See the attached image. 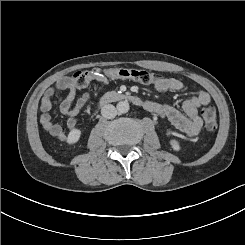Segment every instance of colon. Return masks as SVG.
Here are the masks:
<instances>
[{
	"label": "colon",
	"mask_w": 245,
	"mask_h": 245,
	"mask_svg": "<svg viewBox=\"0 0 245 245\" xmlns=\"http://www.w3.org/2000/svg\"><path fill=\"white\" fill-rule=\"evenodd\" d=\"M121 78L138 81L143 84H155L160 77L145 69L116 67L105 70H95L92 72L78 71L73 76L74 83L83 88L93 79ZM202 118L207 130H214L217 126V114L213 107H206L202 110Z\"/></svg>",
	"instance_id": "colon-1"
}]
</instances>
